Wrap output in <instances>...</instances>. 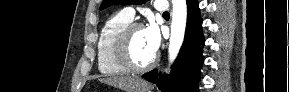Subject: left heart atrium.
I'll return each instance as SVG.
<instances>
[{
    "label": "left heart atrium",
    "instance_id": "obj_1",
    "mask_svg": "<svg viewBox=\"0 0 289 92\" xmlns=\"http://www.w3.org/2000/svg\"><path fill=\"white\" fill-rule=\"evenodd\" d=\"M144 30L150 49L154 54H156L161 43L158 27L155 23L150 22Z\"/></svg>",
    "mask_w": 289,
    "mask_h": 92
}]
</instances>
